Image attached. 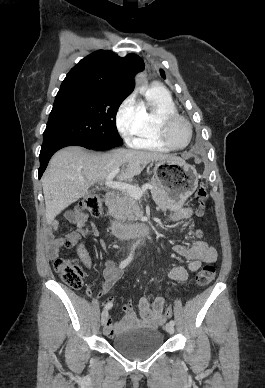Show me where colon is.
<instances>
[{
  "instance_id": "5ec220e1",
  "label": "colon",
  "mask_w": 265,
  "mask_h": 388,
  "mask_svg": "<svg viewBox=\"0 0 265 388\" xmlns=\"http://www.w3.org/2000/svg\"><path fill=\"white\" fill-rule=\"evenodd\" d=\"M195 199L198 203V213L202 214L206 200L207 190L204 184H200L196 193ZM104 197L102 194H94L85 197L80 202L82 210L87 212L92 217H97L102 213ZM54 269L60 275L64 283L72 289L78 290L83 287L84 275L79 264L74 260L57 259L54 262ZM216 274V268L212 262L205 264L196 275V283L198 286H206L213 281ZM165 316H172V307L166 305Z\"/></svg>"
}]
</instances>
